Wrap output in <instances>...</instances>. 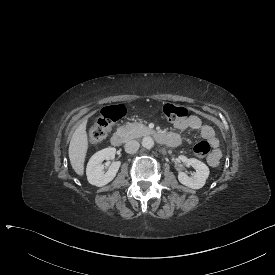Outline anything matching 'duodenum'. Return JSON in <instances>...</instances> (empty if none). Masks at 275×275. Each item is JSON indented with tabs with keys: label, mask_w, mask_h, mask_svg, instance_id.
Listing matches in <instances>:
<instances>
[{
	"label": "duodenum",
	"mask_w": 275,
	"mask_h": 275,
	"mask_svg": "<svg viewBox=\"0 0 275 275\" xmlns=\"http://www.w3.org/2000/svg\"><path fill=\"white\" fill-rule=\"evenodd\" d=\"M150 134L155 137V139L169 146H175L178 144V139L174 135L166 134L158 131H150ZM125 141V135L123 132H115L111 137V144L115 147L121 146Z\"/></svg>",
	"instance_id": "1"
}]
</instances>
